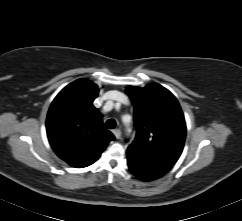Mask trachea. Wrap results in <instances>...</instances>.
I'll use <instances>...</instances> for the list:
<instances>
[{"mask_svg":"<svg viewBox=\"0 0 242 221\" xmlns=\"http://www.w3.org/2000/svg\"><path fill=\"white\" fill-rule=\"evenodd\" d=\"M116 126V121L114 119H109L106 121V127L108 129H114Z\"/></svg>","mask_w":242,"mask_h":221,"instance_id":"obj_1","label":"trachea"}]
</instances>
